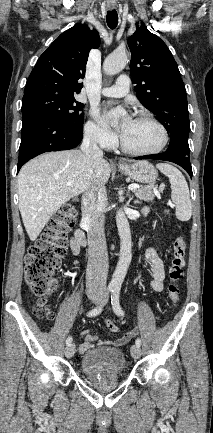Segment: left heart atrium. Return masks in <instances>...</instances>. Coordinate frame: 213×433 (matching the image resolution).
<instances>
[{
    "mask_svg": "<svg viewBox=\"0 0 213 433\" xmlns=\"http://www.w3.org/2000/svg\"><path fill=\"white\" fill-rule=\"evenodd\" d=\"M110 117H111L110 113L109 112H105L104 115H103V120L104 121H108L110 119ZM131 122H132V119L130 117H126L122 121V123H121V125L119 127V133L122 134L127 129V127L131 124Z\"/></svg>",
    "mask_w": 213,
    "mask_h": 433,
    "instance_id": "obj_1",
    "label": "left heart atrium"
}]
</instances>
